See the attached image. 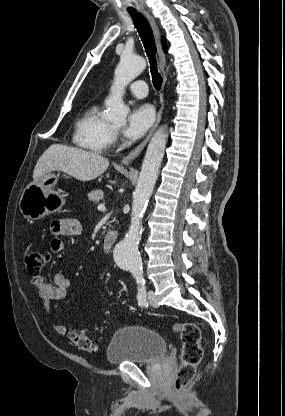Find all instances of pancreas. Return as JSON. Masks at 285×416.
Listing matches in <instances>:
<instances>
[{
	"instance_id": "obj_1",
	"label": "pancreas",
	"mask_w": 285,
	"mask_h": 416,
	"mask_svg": "<svg viewBox=\"0 0 285 416\" xmlns=\"http://www.w3.org/2000/svg\"><path fill=\"white\" fill-rule=\"evenodd\" d=\"M88 198L91 202H97V204H99L100 200H103L104 198L103 192L102 190H93V192L88 194Z\"/></svg>"
}]
</instances>
